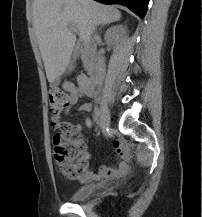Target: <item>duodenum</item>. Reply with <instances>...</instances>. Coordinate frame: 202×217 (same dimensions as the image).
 <instances>
[{"label":"duodenum","mask_w":202,"mask_h":217,"mask_svg":"<svg viewBox=\"0 0 202 217\" xmlns=\"http://www.w3.org/2000/svg\"><path fill=\"white\" fill-rule=\"evenodd\" d=\"M91 72L94 74L95 73V68L92 67ZM81 79V86L83 87V89L89 93L92 94L93 90H94V80L90 79V78H86L84 76H80Z\"/></svg>","instance_id":"obj_1"}]
</instances>
